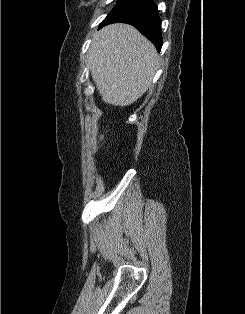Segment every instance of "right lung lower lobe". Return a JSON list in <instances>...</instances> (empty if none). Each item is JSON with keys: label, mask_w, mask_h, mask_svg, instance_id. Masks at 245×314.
I'll use <instances>...</instances> for the list:
<instances>
[{"label": "right lung lower lobe", "mask_w": 245, "mask_h": 314, "mask_svg": "<svg viewBox=\"0 0 245 314\" xmlns=\"http://www.w3.org/2000/svg\"><path fill=\"white\" fill-rule=\"evenodd\" d=\"M117 22L136 27L160 51L162 46L161 20L157 6L152 0H129L109 14L101 23L100 28Z\"/></svg>", "instance_id": "right-lung-lower-lobe-1"}]
</instances>
